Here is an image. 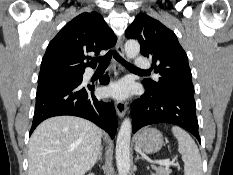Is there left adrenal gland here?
<instances>
[{
  "label": "left adrenal gland",
  "instance_id": "left-adrenal-gland-1",
  "mask_svg": "<svg viewBox=\"0 0 233 175\" xmlns=\"http://www.w3.org/2000/svg\"><path fill=\"white\" fill-rule=\"evenodd\" d=\"M139 159L143 160V158L139 157V155L137 154V156H136V158H135V161H137V160H139Z\"/></svg>",
  "mask_w": 233,
  "mask_h": 175
}]
</instances>
